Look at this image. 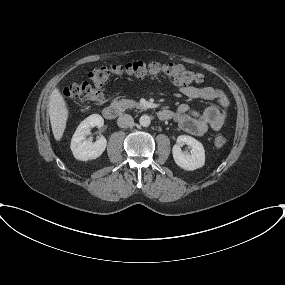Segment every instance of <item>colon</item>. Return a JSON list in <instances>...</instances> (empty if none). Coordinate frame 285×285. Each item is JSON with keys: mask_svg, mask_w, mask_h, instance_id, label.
<instances>
[{"mask_svg": "<svg viewBox=\"0 0 285 285\" xmlns=\"http://www.w3.org/2000/svg\"><path fill=\"white\" fill-rule=\"evenodd\" d=\"M117 76H128L136 79L163 77L181 86L201 84L205 81L203 74L193 72L178 63L132 62L94 67L89 72L91 83L87 81L73 83L65 88L64 95L71 100L84 102L99 101L102 97L104 86L111 77ZM214 144L216 147H223L226 144V138L217 136Z\"/></svg>", "mask_w": 285, "mask_h": 285, "instance_id": "obj_1", "label": "colon"}]
</instances>
